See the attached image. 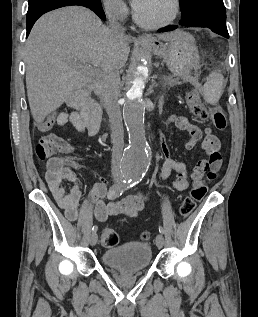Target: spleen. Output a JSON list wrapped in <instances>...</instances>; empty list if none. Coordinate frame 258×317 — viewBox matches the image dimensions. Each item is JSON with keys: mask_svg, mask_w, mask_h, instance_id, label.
<instances>
[{"mask_svg": "<svg viewBox=\"0 0 258 317\" xmlns=\"http://www.w3.org/2000/svg\"><path fill=\"white\" fill-rule=\"evenodd\" d=\"M203 90L206 102H210V104L218 102L223 92V74H221V70H215V72L207 76Z\"/></svg>", "mask_w": 258, "mask_h": 317, "instance_id": "spleen-1", "label": "spleen"}]
</instances>
